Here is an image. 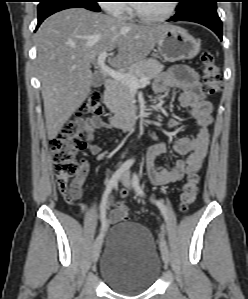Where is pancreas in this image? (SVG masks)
<instances>
[{
    "label": "pancreas",
    "instance_id": "cf45deb5",
    "mask_svg": "<svg viewBox=\"0 0 248 299\" xmlns=\"http://www.w3.org/2000/svg\"><path fill=\"white\" fill-rule=\"evenodd\" d=\"M164 66L154 58L141 60L128 68L125 73L136 76L137 78H155ZM105 104L109 110L121 117L133 116L135 114V105L132 98L131 88L114 80L105 93Z\"/></svg>",
    "mask_w": 248,
    "mask_h": 299
}]
</instances>
